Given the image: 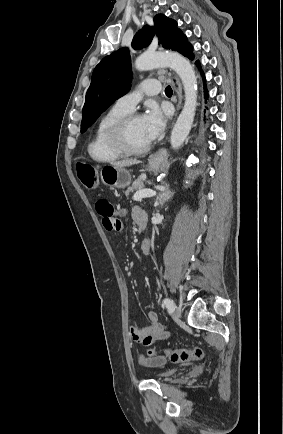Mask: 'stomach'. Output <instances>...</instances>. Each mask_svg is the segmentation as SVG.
<instances>
[{"instance_id":"obj_1","label":"stomach","mask_w":283,"mask_h":434,"mask_svg":"<svg viewBox=\"0 0 283 434\" xmlns=\"http://www.w3.org/2000/svg\"><path fill=\"white\" fill-rule=\"evenodd\" d=\"M162 164V160L151 157L148 167L150 171L157 172ZM101 181L107 186L122 189L130 185L131 175L125 168L107 165L101 169Z\"/></svg>"}]
</instances>
